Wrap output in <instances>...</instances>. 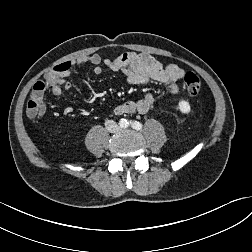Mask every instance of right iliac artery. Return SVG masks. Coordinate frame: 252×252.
<instances>
[{"instance_id":"obj_1","label":"right iliac artery","mask_w":252,"mask_h":252,"mask_svg":"<svg viewBox=\"0 0 252 252\" xmlns=\"http://www.w3.org/2000/svg\"><path fill=\"white\" fill-rule=\"evenodd\" d=\"M123 124L126 127V126H128L129 122L127 120H124Z\"/></svg>"}]
</instances>
